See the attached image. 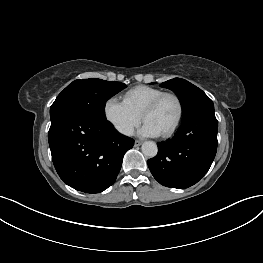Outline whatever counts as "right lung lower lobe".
Wrapping results in <instances>:
<instances>
[{
    "mask_svg": "<svg viewBox=\"0 0 263 263\" xmlns=\"http://www.w3.org/2000/svg\"><path fill=\"white\" fill-rule=\"evenodd\" d=\"M53 164L70 187L99 193L110 187L123 156L134 140L119 134L106 119L64 114L51 121L48 132Z\"/></svg>",
    "mask_w": 263,
    "mask_h": 263,
    "instance_id": "98d812e1",
    "label": "right lung lower lobe"
}]
</instances>
